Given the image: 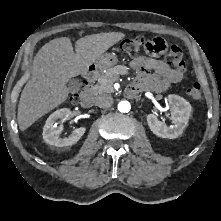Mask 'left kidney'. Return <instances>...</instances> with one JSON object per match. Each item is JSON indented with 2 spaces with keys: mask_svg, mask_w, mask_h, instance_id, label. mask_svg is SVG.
Returning a JSON list of instances; mask_svg holds the SVG:
<instances>
[{
  "mask_svg": "<svg viewBox=\"0 0 221 221\" xmlns=\"http://www.w3.org/2000/svg\"><path fill=\"white\" fill-rule=\"evenodd\" d=\"M168 102L171 105V120L174 125L168 127L159 121L155 114L147 116L150 130L158 137L175 139L183 133L191 116L192 107L190 103L178 95H169Z\"/></svg>",
  "mask_w": 221,
  "mask_h": 221,
  "instance_id": "obj_1",
  "label": "left kidney"
}]
</instances>
